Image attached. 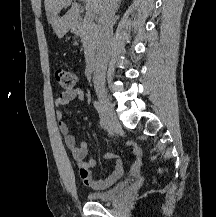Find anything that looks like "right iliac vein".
Returning a JSON list of instances; mask_svg holds the SVG:
<instances>
[{"label":"right iliac vein","mask_w":216,"mask_h":217,"mask_svg":"<svg viewBox=\"0 0 216 217\" xmlns=\"http://www.w3.org/2000/svg\"><path fill=\"white\" fill-rule=\"evenodd\" d=\"M97 96H98L99 102L101 103L104 109V113L106 115L109 128L113 132H118L121 129V125L114 112L113 104L111 103L110 99L108 98L106 92L103 89L97 90Z\"/></svg>","instance_id":"1"}]
</instances>
